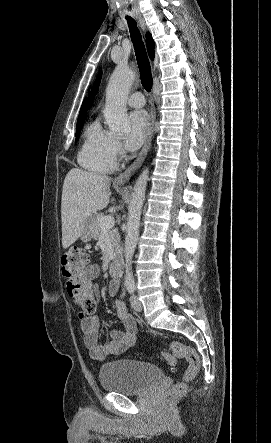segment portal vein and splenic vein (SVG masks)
Masks as SVG:
<instances>
[{"mask_svg":"<svg viewBox=\"0 0 271 443\" xmlns=\"http://www.w3.org/2000/svg\"><path fill=\"white\" fill-rule=\"evenodd\" d=\"M115 223L114 218L112 216H105V218H101L100 225H103L104 229H109V227H113Z\"/></svg>","mask_w":271,"mask_h":443,"instance_id":"18ae733b","label":"portal vein and splenic vein"}]
</instances>
